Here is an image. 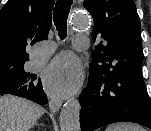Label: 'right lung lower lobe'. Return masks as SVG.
I'll return each mask as SVG.
<instances>
[{
  "instance_id": "right-lung-lower-lobe-1",
  "label": "right lung lower lobe",
  "mask_w": 151,
  "mask_h": 131,
  "mask_svg": "<svg viewBox=\"0 0 151 131\" xmlns=\"http://www.w3.org/2000/svg\"><path fill=\"white\" fill-rule=\"evenodd\" d=\"M35 79L36 77L31 75L12 85H4L3 81H0V95L9 93L45 105L48 102L47 96L42 89L41 81L36 82Z\"/></svg>"
}]
</instances>
